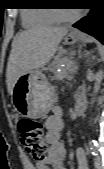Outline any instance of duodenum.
I'll return each mask as SVG.
<instances>
[{"mask_svg":"<svg viewBox=\"0 0 104 169\" xmlns=\"http://www.w3.org/2000/svg\"><path fill=\"white\" fill-rule=\"evenodd\" d=\"M87 107V99L83 96H80L76 100L75 112L77 115H82Z\"/></svg>","mask_w":104,"mask_h":169,"instance_id":"410a0bca","label":"duodenum"}]
</instances>
